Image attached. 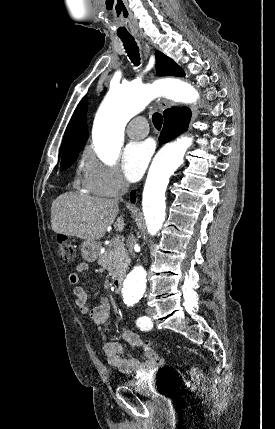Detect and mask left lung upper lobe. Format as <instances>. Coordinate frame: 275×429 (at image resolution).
Here are the masks:
<instances>
[{
    "label": "left lung upper lobe",
    "instance_id": "obj_1",
    "mask_svg": "<svg viewBox=\"0 0 275 429\" xmlns=\"http://www.w3.org/2000/svg\"><path fill=\"white\" fill-rule=\"evenodd\" d=\"M156 71L160 76H184L183 70L169 57L156 52Z\"/></svg>",
    "mask_w": 275,
    "mask_h": 429
}]
</instances>
